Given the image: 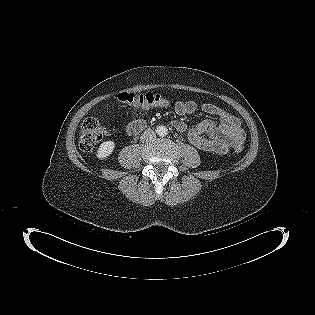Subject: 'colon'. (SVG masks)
Masks as SVG:
<instances>
[{
  "label": "colon",
  "instance_id": "obj_1",
  "mask_svg": "<svg viewBox=\"0 0 315 315\" xmlns=\"http://www.w3.org/2000/svg\"><path fill=\"white\" fill-rule=\"evenodd\" d=\"M118 99L122 103L131 104L139 107H168L171 102L162 97L159 94L154 93H133V92H122L118 95ZM107 131L101 122L95 118H87L80 130L79 135V146L84 151H89L95 147L105 136ZM235 152H242V145H238L235 148Z\"/></svg>",
  "mask_w": 315,
  "mask_h": 315
}]
</instances>
